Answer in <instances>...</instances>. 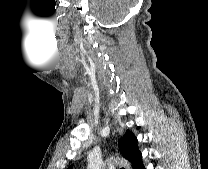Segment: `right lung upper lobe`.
<instances>
[{
	"mask_svg": "<svg viewBox=\"0 0 208 169\" xmlns=\"http://www.w3.org/2000/svg\"><path fill=\"white\" fill-rule=\"evenodd\" d=\"M137 142L136 136L129 130H127L125 135L118 141L122 156L131 163L133 169L142 160V154L138 149ZM71 167L68 169H71Z\"/></svg>",
	"mask_w": 208,
	"mask_h": 169,
	"instance_id": "obj_1",
	"label": "right lung upper lobe"
}]
</instances>
